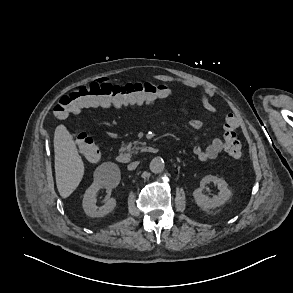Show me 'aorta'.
I'll use <instances>...</instances> for the list:
<instances>
[{"instance_id":"762f6f07","label":"aorta","mask_w":293,"mask_h":293,"mask_svg":"<svg viewBox=\"0 0 293 293\" xmlns=\"http://www.w3.org/2000/svg\"><path fill=\"white\" fill-rule=\"evenodd\" d=\"M165 163L161 157H155L151 160L149 168L153 173H161L164 169Z\"/></svg>"}]
</instances>
